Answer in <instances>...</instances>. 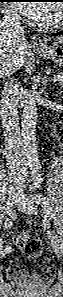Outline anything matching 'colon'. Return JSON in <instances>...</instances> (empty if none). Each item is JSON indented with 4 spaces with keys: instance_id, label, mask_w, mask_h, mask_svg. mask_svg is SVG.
<instances>
[{
    "instance_id": "1",
    "label": "colon",
    "mask_w": 63,
    "mask_h": 297,
    "mask_svg": "<svg viewBox=\"0 0 63 297\" xmlns=\"http://www.w3.org/2000/svg\"><path fill=\"white\" fill-rule=\"evenodd\" d=\"M13 241L21 252L30 258L38 257L42 252V244L40 240L27 233H17L14 235Z\"/></svg>"
}]
</instances>
